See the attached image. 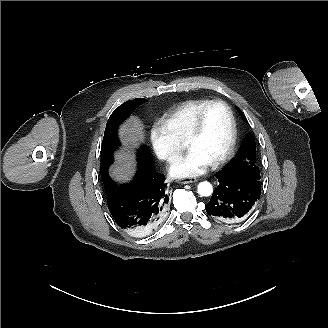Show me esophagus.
Wrapping results in <instances>:
<instances>
[{"label": "esophagus", "instance_id": "1", "mask_svg": "<svg viewBox=\"0 0 328 328\" xmlns=\"http://www.w3.org/2000/svg\"><path fill=\"white\" fill-rule=\"evenodd\" d=\"M196 181H197V179L193 178V177H184V178H179L176 180V182L180 183V184L194 183Z\"/></svg>", "mask_w": 328, "mask_h": 328}]
</instances>
